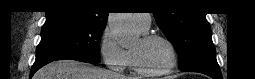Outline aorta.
Masks as SVG:
<instances>
[{"mask_svg":"<svg viewBox=\"0 0 255 79\" xmlns=\"http://www.w3.org/2000/svg\"><path fill=\"white\" fill-rule=\"evenodd\" d=\"M108 25L121 47H129L138 37L137 32L133 28L130 13H110Z\"/></svg>","mask_w":255,"mask_h":79,"instance_id":"aorta-1","label":"aorta"}]
</instances>
